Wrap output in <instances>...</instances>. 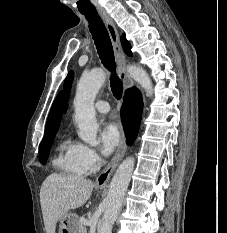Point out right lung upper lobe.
<instances>
[{
	"label": "right lung upper lobe",
	"instance_id": "1",
	"mask_svg": "<svg viewBox=\"0 0 227 233\" xmlns=\"http://www.w3.org/2000/svg\"><path fill=\"white\" fill-rule=\"evenodd\" d=\"M61 116H62L61 93H59V95L56 97L55 101L52 104V107H51V110H50V113L47 119L43 140H47L52 137H55V134L57 133V130L59 128Z\"/></svg>",
	"mask_w": 227,
	"mask_h": 233
}]
</instances>
